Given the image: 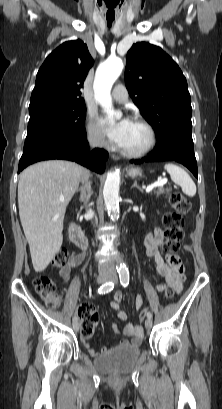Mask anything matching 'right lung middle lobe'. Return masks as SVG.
Returning <instances> with one entry per match:
<instances>
[{"label": "right lung middle lobe", "instance_id": "1", "mask_svg": "<svg viewBox=\"0 0 222 409\" xmlns=\"http://www.w3.org/2000/svg\"><path fill=\"white\" fill-rule=\"evenodd\" d=\"M23 153L37 148L74 149L84 138V102L50 103L29 109Z\"/></svg>", "mask_w": 222, "mask_h": 409}]
</instances>
